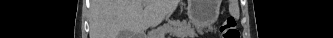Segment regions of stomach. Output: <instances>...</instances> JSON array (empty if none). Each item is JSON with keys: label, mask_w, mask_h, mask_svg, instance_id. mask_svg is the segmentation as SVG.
<instances>
[{"label": "stomach", "mask_w": 333, "mask_h": 38, "mask_svg": "<svg viewBox=\"0 0 333 38\" xmlns=\"http://www.w3.org/2000/svg\"><path fill=\"white\" fill-rule=\"evenodd\" d=\"M189 8H188V16L189 20L193 25H197V23L202 19L200 12L197 10V2L196 0H189Z\"/></svg>", "instance_id": "1"}]
</instances>
